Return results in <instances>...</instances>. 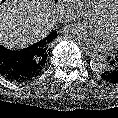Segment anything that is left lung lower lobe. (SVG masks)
Here are the masks:
<instances>
[{"label":"left lung lower lobe","mask_w":118,"mask_h":118,"mask_svg":"<svg viewBox=\"0 0 118 118\" xmlns=\"http://www.w3.org/2000/svg\"><path fill=\"white\" fill-rule=\"evenodd\" d=\"M100 76L106 82L118 84V55L108 58L107 68Z\"/></svg>","instance_id":"1"}]
</instances>
